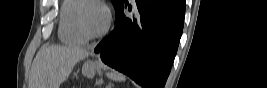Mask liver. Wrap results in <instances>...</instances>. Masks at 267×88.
<instances>
[{
    "instance_id": "6515ba94",
    "label": "liver",
    "mask_w": 267,
    "mask_h": 88,
    "mask_svg": "<svg viewBox=\"0 0 267 88\" xmlns=\"http://www.w3.org/2000/svg\"><path fill=\"white\" fill-rule=\"evenodd\" d=\"M86 49L76 46L51 45L36 55L29 79V88H59L77 62L88 57Z\"/></svg>"
}]
</instances>
